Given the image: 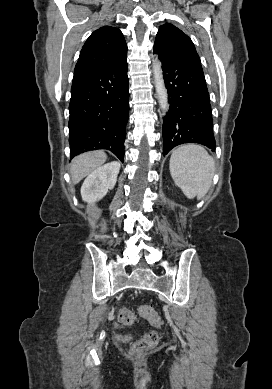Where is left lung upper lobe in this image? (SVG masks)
<instances>
[{"mask_svg": "<svg viewBox=\"0 0 272 389\" xmlns=\"http://www.w3.org/2000/svg\"><path fill=\"white\" fill-rule=\"evenodd\" d=\"M153 50L169 60L201 64L191 39L169 23L160 27Z\"/></svg>", "mask_w": 272, "mask_h": 389, "instance_id": "1", "label": "left lung upper lobe"}]
</instances>
